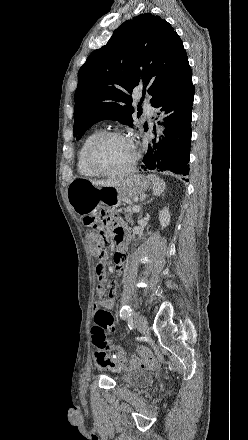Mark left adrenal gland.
<instances>
[{"mask_svg": "<svg viewBox=\"0 0 248 440\" xmlns=\"http://www.w3.org/2000/svg\"><path fill=\"white\" fill-rule=\"evenodd\" d=\"M142 217V211L140 212V216H139V218H141Z\"/></svg>", "mask_w": 248, "mask_h": 440, "instance_id": "obj_1", "label": "left adrenal gland"}]
</instances>
